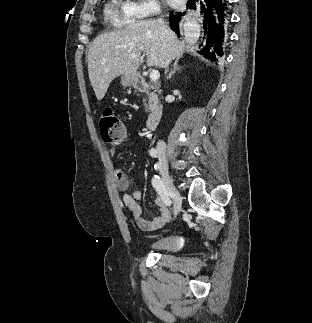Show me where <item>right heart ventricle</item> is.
Returning <instances> with one entry per match:
<instances>
[{"instance_id":"obj_1","label":"right heart ventricle","mask_w":312,"mask_h":323,"mask_svg":"<svg viewBox=\"0 0 312 323\" xmlns=\"http://www.w3.org/2000/svg\"><path fill=\"white\" fill-rule=\"evenodd\" d=\"M103 18H104L105 20H108V19L110 18V15H109L108 13H105V14L103 15Z\"/></svg>"}]
</instances>
